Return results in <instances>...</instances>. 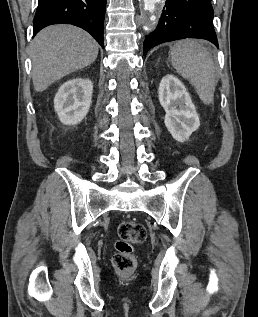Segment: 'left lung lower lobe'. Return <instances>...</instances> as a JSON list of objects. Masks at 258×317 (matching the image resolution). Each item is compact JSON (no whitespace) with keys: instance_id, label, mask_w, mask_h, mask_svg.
<instances>
[{"instance_id":"left-lung-lower-lobe-1","label":"left lung lower lobe","mask_w":258,"mask_h":317,"mask_svg":"<svg viewBox=\"0 0 258 317\" xmlns=\"http://www.w3.org/2000/svg\"><path fill=\"white\" fill-rule=\"evenodd\" d=\"M211 0H166L157 29L146 36L143 53L164 43L184 38H199L218 47L213 28Z\"/></svg>"}]
</instances>
